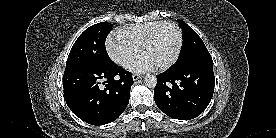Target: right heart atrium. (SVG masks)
<instances>
[{
    "mask_svg": "<svg viewBox=\"0 0 276 138\" xmlns=\"http://www.w3.org/2000/svg\"><path fill=\"white\" fill-rule=\"evenodd\" d=\"M109 57L119 66L127 68L140 52L129 40L117 35H110L106 41Z\"/></svg>",
    "mask_w": 276,
    "mask_h": 138,
    "instance_id": "obj_1",
    "label": "right heart atrium"
}]
</instances>
